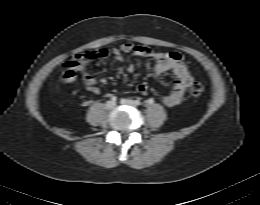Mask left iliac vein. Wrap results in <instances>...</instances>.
I'll list each match as a JSON object with an SVG mask.
<instances>
[{
	"label": "left iliac vein",
	"mask_w": 260,
	"mask_h": 205,
	"mask_svg": "<svg viewBox=\"0 0 260 205\" xmlns=\"http://www.w3.org/2000/svg\"><path fill=\"white\" fill-rule=\"evenodd\" d=\"M121 104L123 105H129V106H135V103L133 100L130 99H122Z\"/></svg>",
	"instance_id": "1"
}]
</instances>
